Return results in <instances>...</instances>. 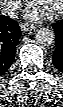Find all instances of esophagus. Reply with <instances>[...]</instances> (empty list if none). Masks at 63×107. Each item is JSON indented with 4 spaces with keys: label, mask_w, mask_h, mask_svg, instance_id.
I'll return each mask as SVG.
<instances>
[{
    "label": "esophagus",
    "mask_w": 63,
    "mask_h": 107,
    "mask_svg": "<svg viewBox=\"0 0 63 107\" xmlns=\"http://www.w3.org/2000/svg\"><path fill=\"white\" fill-rule=\"evenodd\" d=\"M22 30L23 31H33L36 29V26L35 25H30V24H24L22 25Z\"/></svg>",
    "instance_id": "1"
}]
</instances>
